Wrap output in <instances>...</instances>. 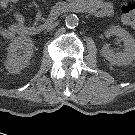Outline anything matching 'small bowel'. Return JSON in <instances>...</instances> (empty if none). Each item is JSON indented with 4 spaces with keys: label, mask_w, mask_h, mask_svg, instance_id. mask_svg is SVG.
I'll return each mask as SVG.
<instances>
[{
    "label": "small bowel",
    "mask_w": 135,
    "mask_h": 135,
    "mask_svg": "<svg viewBox=\"0 0 135 135\" xmlns=\"http://www.w3.org/2000/svg\"><path fill=\"white\" fill-rule=\"evenodd\" d=\"M19 0H0V7L7 8ZM85 4L93 15L97 17L111 16L113 6L110 1L106 0H85ZM25 20L21 14L15 15V21L8 27H0V34L7 39L13 38L18 34H25Z\"/></svg>",
    "instance_id": "c3829d8e"
}]
</instances>
